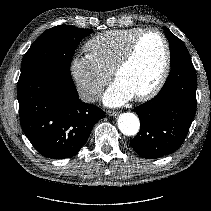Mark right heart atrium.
Segmentation results:
<instances>
[{
	"mask_svg": "<svg viewBox=\"0 0 211 211\" xmlns=\"http://www.w3.org/2000/svg\"><path fill=\"white\" fill-rule=\"evenodd\" d=\"M70 73L79 96L86 102L96 101L111 78L89 54H75L70 60Z\"/></svg>",
	"mask_w": 211,
	"mask_h": 211,
	"instance_id": "obj_1",
	"label": "right heart atrium"
}]
</instances>
